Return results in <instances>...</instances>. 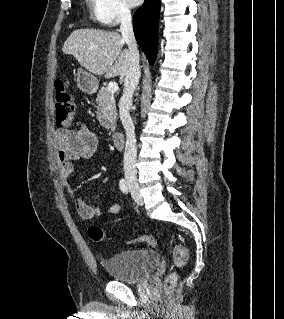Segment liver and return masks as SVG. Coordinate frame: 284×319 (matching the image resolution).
Returning <instances> with one entry per match:
<instances>
[{
	"label": "liver",
	"mask_w": 284,
	"mask_h": 319,
	"mask_svg": "<svg viewBox=\"0 0 284 319\" xmlns=\"http://www.w3.org/2000/svg\"><path fill=\"white\" fill-rule=\"evenodd\" d=\"M125 41L115 31L77 29L65 41L62 51L73 55L79 64L94 75L106 78L120 77V83L130 67Z\"/></svg>",
	"instance_id": "6515ba94"
}]
</instances>
